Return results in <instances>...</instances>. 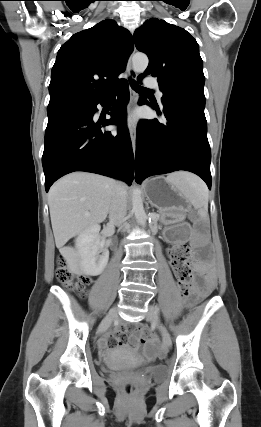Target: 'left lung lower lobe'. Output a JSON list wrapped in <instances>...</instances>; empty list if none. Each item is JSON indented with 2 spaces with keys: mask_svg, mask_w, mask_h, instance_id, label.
Wrapping results in <instances>:
<instances>
[{
  "mask_svg": "<svg viewBox=\"0 0 261 427\" xmlns=\"http://www.w3.org/2000/svg\"><path fill=\"white\" fill-rule=\"evenodd\" d=\"M162 101V114L167 123L143 119L138 124L136 182L140 183L151 175L186 170L200 176L211 189V151L204 114L205 98L181 93ZM139 103L150 105L144 98ZM154 107L161 114L159 107Z\"/></svg>",
  "mask_w": 261,
  "mask_h": 427,
  "instance_id": "left-lung-lower-lobe-1",
  "label": "left lung lower lobe"
}]
</instances>
